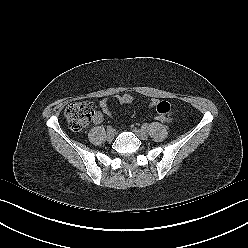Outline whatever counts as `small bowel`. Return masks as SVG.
I'll return each instance as SVG.
<instances>
[{
	"mask_svg": "<svg viewBox=\"0 0 248 248\" xmlns=\"http://www.w3.org/2000/svg\"><path fill=\"white\" fill-rule=\"evenodd\" d=\"M114 99L118 101L120 104H131L133 103L135 97L131 94L125 93V94H117L114 96ZM100 111L96 112L93 116V122L95 124L102 123L104 119V115H111L109 107H108V100L102 99L99 102ZM149 107L152 109H155L159 114L169 116L171 113V106L166 101H160V100H152L149 104Z\"/></svg>",
	"mask_w": 248,
	"mask_h": 248,
	"instance_id": "c3829d8e",
	"label": "small bowel"
}]
</instances>
